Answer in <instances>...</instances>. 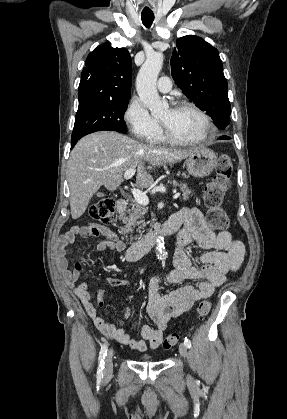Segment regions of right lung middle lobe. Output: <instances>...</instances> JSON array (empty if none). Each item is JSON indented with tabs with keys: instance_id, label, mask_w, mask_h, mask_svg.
<instances>
[{
	"instance_id": "right-lung-middle-lobe-1",
	"label": "right lung middle lobe",
	"mask_w": 287,
	"mask_h": 419,
	"mask_svg": "<svg viewBox=\"0 0 287 419\" xmlns=\"http://www.w3.org/2000/svg\"><path fill=\"white\" fill-rule=\"evenodd\" d=\"M128 106L127 100L104 102L84 109H78L72 132L71 146L83 136L96 131L110 130L127 133L123 119Z\"/></svg>"
}]
</instances>
